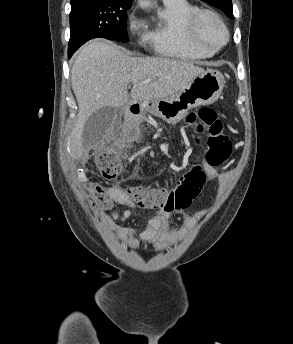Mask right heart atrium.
Listing matches in <instances>:
<instances>
[{
  "mask_svg": "<svg viewBox=\"0 0 293 344\" xmlns=\"http://www.w3.org/2000/svg\"><path fill=\"white\" fill-rule=\"evenodd\" d=\"M143 28V21L135 15V13L129 14L127 18V29L131 33H137Z\"/></svg>",
  "mask_w": 293,
  "mask_h": 344,
  "instance_id": "obj_1",
  "label": "right heart atrium"
}]
</instances>
